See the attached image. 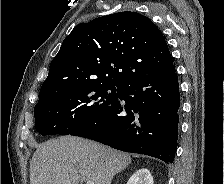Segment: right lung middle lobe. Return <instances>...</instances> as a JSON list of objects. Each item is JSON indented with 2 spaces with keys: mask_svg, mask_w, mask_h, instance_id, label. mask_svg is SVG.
Wrapping results in <instances>:
<instances>
[{
  "mask_svg": "<svg viewBox=\"0 0 224 184\" xmlns=\"http://www.w3.org/2000/svg\"><path fill=\"white\" fill-rule=\"evenodd\" d=\"M122 85L84 83L39 102L34 108L36 130L45 135H68L101 116L113 104Z\"/></svg>",
  "mask_w": 224,
  "mask_h": 184,
  "instance_id": "right-lung-middle-lobe-1",
  "label": "right lung middle lobe"
}]
</instances>
